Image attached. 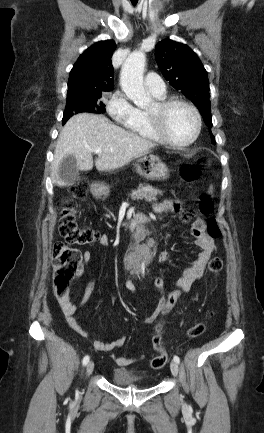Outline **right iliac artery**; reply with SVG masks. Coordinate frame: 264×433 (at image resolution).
Masks as SVG:
<instances>
[{"mask_svg": "<svg viewBox=\"0 0 264 433\" xmlns=\"http://www.w3.org/2000/svg\"><path fill=\"white\" fill-rule=\"evenodd\" d=\"M88 362H89V356L86 355V356L83 358L82 363H83V365L85 366V365H87Z\"/></svg>", "mask_w": 264, "mask_h": 433, "instance_id": "82829eb1", "label": "right iliac artery"}]
</instances>
